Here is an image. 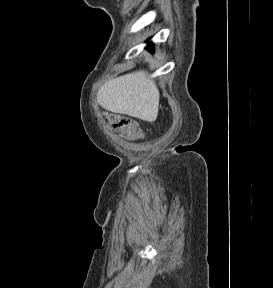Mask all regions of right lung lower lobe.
Returning a JSON list of instances; mask_svg holds the SVG:
<instances>
[{"mask_svg": "<svg viewBox=\"0 0 273 288\" xmlns=\"http://www.w3.org/2000/svg\"><path fill=\"white\" fill-rule=\"evenodd\" d=\"M147 49H148L150 52H153V45L150 43V44L147 46Z\"/></svg>", "mask_w": 273, "mask_h": 288, "instance_id": "98d812e1", "label": "right lung lower lobe"}]
</instances>
